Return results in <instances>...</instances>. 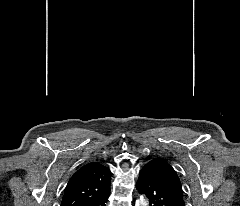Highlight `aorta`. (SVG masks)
Segmentation results:
<instances>
[{"label":"aorta","instance_id":"762f6f07","mask_svg":"<svg viewBox=\"0 0 240 206\" xmlns=\"http://www.w3.org/2000/svg\"><path fill=\"white\" fill-rule=\"evenodd\" d=\"M148 205H149L148 199L143 196H140L135 202V206H148Z\"/></svg>","mask_w":240,"mask_h":206}]
</instances>
